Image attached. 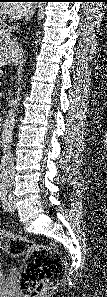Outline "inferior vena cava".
Wrapping results in <instances>:
<instances>
[{
	"instance_id": "inferior-vena-cava-1",
	"label": "inferior vena cava",
	"mask_w": 107,
	"mask_h": 297,
	"mask_svg": "<svg viewBox=\"0 0 107 297\" xmlns=\"http://www.w3.org/2000/svg\"><path fill=\"white\" fill-rule=\"evenodd\" d=\"M16 27H11L9 29H3L0 32V36L3 38H9L11 36V32L13 30H15ZM15 41V40H13ZM2 170L3 172L6 174L7 180L8 182H10L12 180V175H13V159H12V155L8 154L5 155L3 163H2Z\"/></svg>"
}]
</instances>
